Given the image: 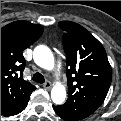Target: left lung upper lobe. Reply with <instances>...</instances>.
Returning a JSON list of instances; mask_svg holds the SVG:
<instances>
[{"mask_svg":"<svg viewBox=\"0 0 121 121\" xmlns=\"http://www.w3.org/2000/svg\"><path fill=\"white\" fill-rule=\"evenodd\" d=\"M67 56L68 99L58 106L67 121L82 120L103 103L112 70L102 44L84 27L71 21L59 22Z\"/></svg>","mask_w":121,"mask_h":121,"instance_id":"1","label":"left lung upper lobe"}]
</instances>
